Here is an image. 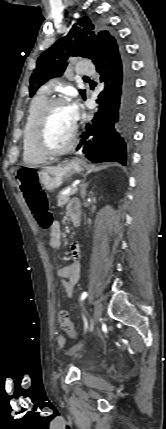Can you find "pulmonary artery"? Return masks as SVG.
<instances>
[{
    "mask_svg": "<svg viewBox=\"0 0 166 429\" xmlns=\"http://www.w3.org/2000/svg\"><path fill=\"white\" fill-rule=\"evenodd\" d=\"M76 72L80 76H88L93 73V68L86 63H78L76 66ZM45 89L48 90L49 87H46Z\"/></svg>",
    "mask_w": 166,
    "mask_h": 429,
    "instance_id": "e3ab8cb5",
    "label": "pulmonary artery"
}]
</instances>
